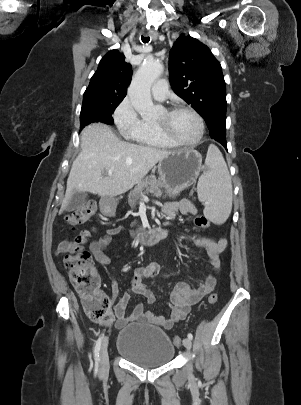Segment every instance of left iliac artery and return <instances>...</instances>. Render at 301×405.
<instances>
[{
	"label": "left iliac artery",
	"instance_id": "1",
	"mask_svg": "<svg viewBox=\"0 0 301 405\" xmlns=\"http://www.w3.org/2000/svg\"><path fill=\"white\" fill-rule=\"evenodd\" d=\"M187 336H188V338H189L190 340L193 339V335H192L191 333H189Z\"/></svg>",
	"mask_w": 301,
	"mask_h": 405
}]
</instances>
